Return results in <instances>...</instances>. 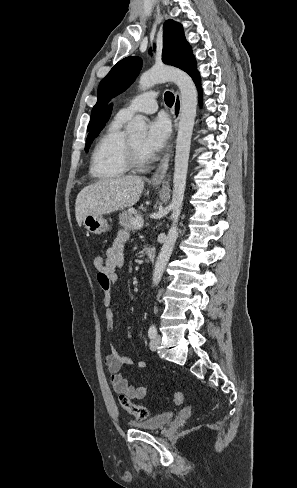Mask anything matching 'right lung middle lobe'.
Masks as SVG:
<instances>
[{"label":"right lung middle lobe","mask_w":297,"mask_h":488,"mask_svg":"<svg viewBox=\"0 0 297 488\" xmlns=\"http://www.w3.org/2000/svg\"><path fill=\"white\" fill-rule=\"evenodd\" d=\"M100 131H101V128L93 136L87 138V140H86V146H85V151L86 152L88 151V149H89V147H90L93 139L99 135Z\"/></svg>","instance_id":"obj_1"}]
</instances>
